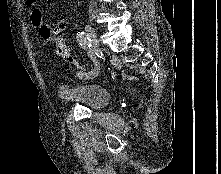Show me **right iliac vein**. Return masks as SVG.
Returning a JSON list of instances; mask_svg holds the SVG:
<instances>
[{"label":"right iliac vein","instance_id":"obj_1","mask_svg":"<svg viewBox=\"0 0 221 174\" xmlns=\"http://www.w3.org/2000/svg\"><path fill=\"white\" fill-rule=\"evenodd\" d=\"M85 31H86V35L91 40L92 46L97 47L99 44V41H98L97 34H96L95 30L90 25H86Z\"/></svg>","mask_w":221,"mask_h":174}]
</instances>
